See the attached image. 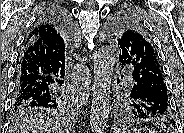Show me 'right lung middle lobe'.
Here are the masks:
<instances>
[{"mask_svg": "<svg viewBox=\"0 0 184 133\" xmlns=\"http://www.w3.org/2000/svg\"><path fill=\"white\" fill-rule=\"evenodd\" d=\"M65 106L64 98L53 99L45 105H15L13 104V112L16 116H26L34 112L59 113Z\"/></svg>", "mask_w": 184, "mask_h": 133, "instance_id": "1", "label": "right lung middle lobe"}]
</instances>
